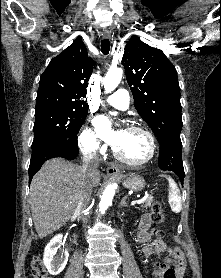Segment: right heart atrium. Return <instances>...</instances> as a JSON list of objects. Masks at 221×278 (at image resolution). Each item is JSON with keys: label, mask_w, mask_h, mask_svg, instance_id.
Wrapping results in <instances>:
<instances>
[{"label": "right heart atrium", "mask_w": 221, "mask_h": 278, "mask_svg": "<svg viewBox=\"0 0 221 278\" xmlns=\"http://www.w3.org/2000/svg\"><path fill=\"white\" fill-rule=\"evenodd\" d=\"M78 145L82 153L95 156L103 151V145L100 143L97 134L91 127H86L80 133Z\"/></svg>", "instance_id": "1"}]
</instances>
